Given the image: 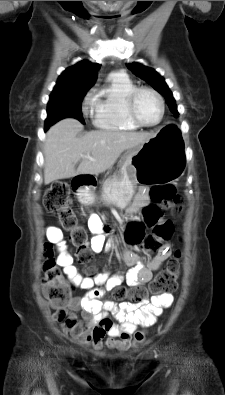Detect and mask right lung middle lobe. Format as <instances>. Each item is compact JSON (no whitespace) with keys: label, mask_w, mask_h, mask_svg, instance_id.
<instances>
[{"label":"right lung middle lobe","mask_w":225,"mask_h":395,"mask_svg":"<svg viewBox=\"0 0 225 395\" xmlns=\"http://www.w3.org/2000/svg\"><path fill=\"white\" fill-rule=\"evenodd\" d=\"M89 89H53L47 106V119L45 121V130L57 121L72 117L85 124L81 105L86 92Z\"/></svg>","instance_id":"dd1d6c3e"}]
</instances>
